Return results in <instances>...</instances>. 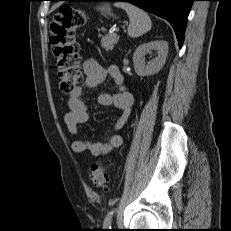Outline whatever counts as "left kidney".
<instances>
[{"label":"left kidney","instance_id":"obj_1","mask_svg":"<svg viewBox=\"0 0 231 231\" xmlns=\"http://www.w3.org/2000/svg\"><path fill=\"white\" fill-rule=\"evenodd\" d=\"M152 50L157 51L158 56L145 64L144 57ZM167 55L168 43L166 41L156 40L140 45L133 55L135 72L139 76H148L159 72L165 64Z\"/></svg>","mask_w":231,"mask_h":231}]
</instances>
